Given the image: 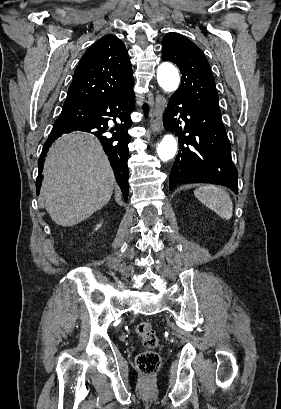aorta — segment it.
Listing matches in <instances>:
<instances>
[{"label": "aorta", "instance_id": "762f6f07", "mask_svg": "<svg viewBox=\"0 0 281 409\" xmlns=\"http://www.w3.org/2000/svg\"><path fill=\"white\" fill-rule=\"evenodd\" d=\"M157 81L165 92L175 91L180 83L178 70L170 63H162L157 69ZM177 151L173 135L167 134L158 145L157 153L163 162L172 159Z\"/></svg>", "mask_w": 281, "mask_h": 409}]
</instances>
